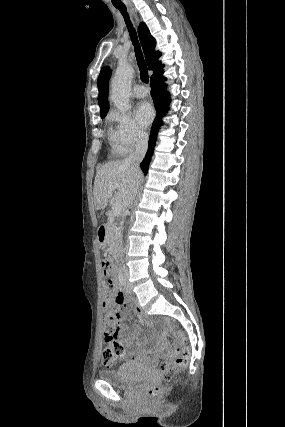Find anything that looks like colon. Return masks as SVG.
<instances>
[{
  "mask_svg": "<svg viewBox=\"0 0 285 427\" xmlns=\"http://www.w3.org/2000/svg\"><path fill=\"white\" fill-rule=\"evenodd\" d=\"M101 270L105 285L104 306L106 311L103 324L106 346L102 352L101 358L104 365L111 366L121 355L125 353L126 348L116 337V312L120 307V303L118 301L115 283L111 278V263L108 260H103L101 263ZM167 322L170 326L175 325V322L171 319H168ZM178 351L179 349L174 348L169 353H167V356H174ZM188 354V349L183 348L176 356L174 363L168 361H163L161 363V368L165 378L159 385L148 388L147 394L151 400H154L162 392L168 389L169 376L172 373L186 367L188 362Z\"/></svg>",
  "mask_w": 285,
  "mask_h": 427,
  "instance_id": "5ec220e1",
  "label": "colon"
}]
</instances>
